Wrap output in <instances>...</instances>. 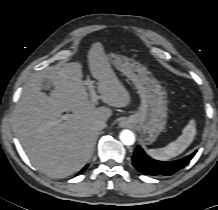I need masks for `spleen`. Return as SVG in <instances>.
<instances>
[{"label": "spleen", "instance_id": "spleen-1", "mask_svg": "<svg viewBox=\"0 0 218 210\" xmlns=\"http://www.w3.org/2000/svg\"><path fill=\"white\" fill-rule=\"evenodd\" d=\"M195 134L196 124L195 120L192 119L183 129L182 135H180L175 141L169 143L163 148L149 149L147 152L156 160H170L185 151V149L192 143Z\"/></svg>", "mask_w": 218, "mask_h": 210}]
</instances>
